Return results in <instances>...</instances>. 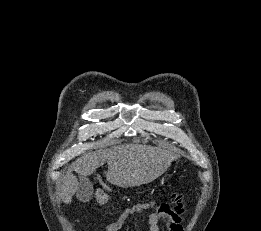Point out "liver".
Masks as SVG:
<instances>
[{"instance_id":"obj_1","label":"liver","mask_w":261,"mask_h":231,"mask_svg":"<svg viewBox=\"0 0 261 231\" xmlns=\"http://www.w3.org/2000/svg\"><path fill=\"white\" fill-rule=\"evenodd\" d=\"M177 157V154L167 149L139 144L117 145L88 152L73 162L64 176L61 199L69 204L79 188L73 171L86 177L107 162L106 179L111 184L127 188L152 182L166 172Z\"/></svg>"}]
</instances>
